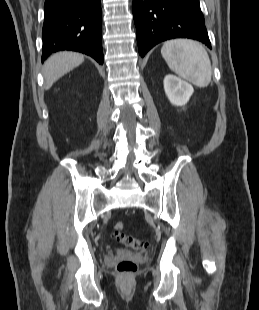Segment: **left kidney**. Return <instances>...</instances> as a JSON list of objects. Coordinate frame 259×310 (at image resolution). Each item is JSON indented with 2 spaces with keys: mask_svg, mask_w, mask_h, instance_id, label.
<instances>
[{
  "mask_svg": "<svg viewBox=\"0 0 259 310\" xmlns=\"http://www.w3.org/2000/svg\"><path fill=\"white\" fill-rule=\"evenodd\" d=\"M163 84L166 96L175 106L185 105L194 92L192 85L172 74L165 76Z\"/></svg>",
  "mask_w": 259,
  "mask_h": 310,
  "instance_id": "5707ae66",
  "label": "left kidney"
}]
</instances>
